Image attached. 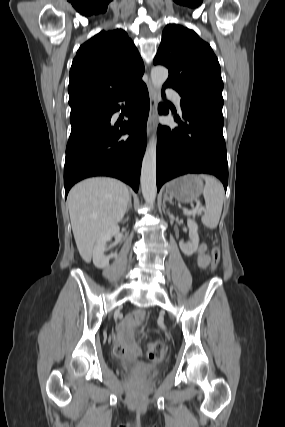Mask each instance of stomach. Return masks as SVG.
I'll return each mask as SVG.
<instances>
[{
    "instance_id": "0dacf381",
    "label": "stomach",
    "mask_w": 285,
    "mask_h": 427,
    "mask_svg": "<svg viewBox=\"0 0 285 427\" xmlns=\"http://www.w3.org/2000/svg\"><path fill=\"white\" fill-rule=\"evenodd\" d=\"M203 181L196 175H185L172 180L166 185V193L183 203L198 199L203 191Z\"/></svg>"
}]
</instances>
